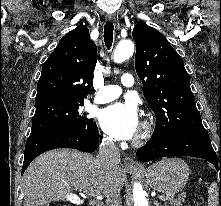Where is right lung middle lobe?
<instances>
[{
    "instance_id": "obj_1",
    "label": "right lung middle lobe",
    "mask_w": 221,
    "mask_h": 206,
    "mask_svg": "<svg viewBox=\"0 0 221 206\" xmlns=\"http://www.w3.org/2000/svg\"><path fill=\"white\" fill-rule=\"evenodd\" d=\"M83 102L51 103L36 107L30 135L58 130H84L95 123L80 111Z\"/></svg>"
}]
</instances>
